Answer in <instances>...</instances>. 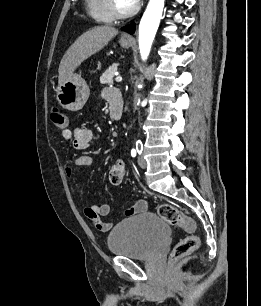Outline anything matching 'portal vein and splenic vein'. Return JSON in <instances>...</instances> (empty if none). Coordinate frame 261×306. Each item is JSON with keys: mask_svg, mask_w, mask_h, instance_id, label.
<instances>
[{"mask_svg": "<svg viewBox=\"0 0 261 306\" xmlns=\"http://www.w3.org/2000/svg\"><path fill=\"white\" fill-rule=\"evenodd\" d=\"M115 81H116V82H121V81H122V77H121V76H117V77L115 78Z\"/></svg>", "mask_w": 261, "mask_h": 306, "instance_id": "obj_1", "label": "portal vein and splenic vein"}]
</instances>
